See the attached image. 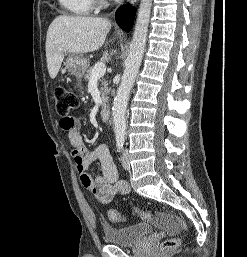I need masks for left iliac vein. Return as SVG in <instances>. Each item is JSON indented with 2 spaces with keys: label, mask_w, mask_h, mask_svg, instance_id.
Instances as JSON below:
<instances>
[{
  "label": "left iliac vein",
  "mask_w": 247,
  "mask_h": 257,
  "mask_svg": "<svg viewBox=\"0 0 247 257\" xmlns=\"http://www.w3.org/2000/svg\"><path fill=\"white\" fill-rule=\"evenodd\" d=\"M122 166L125 170L130 169V161H129V153L127 150H124L122 158H121Z\"/></svg>",
  "instance_id": "4c4485c4"
}]
</instances>
